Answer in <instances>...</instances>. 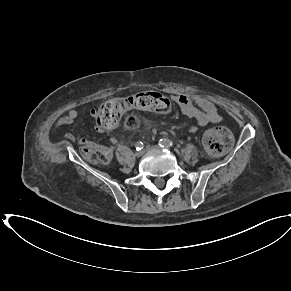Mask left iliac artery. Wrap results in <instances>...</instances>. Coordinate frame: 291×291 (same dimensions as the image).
<instances>
[{"instance_id": "obj_1", "label": "left iliac artery", "mask_w": 291, "mask_h": 291, "mask_svg": "<svg viewBox=\"0 0 291 291\" xmlns=\"http://www.w3.org/2000/svg\"><path fill=\"white\" fill-rule=\"evenodd\" d=\"M173 145H174L173 141H171L169 139L162 138L159 140V146H161V147L168 148V147H171Z\"/></svg>"}]
</instances>
